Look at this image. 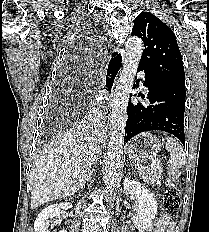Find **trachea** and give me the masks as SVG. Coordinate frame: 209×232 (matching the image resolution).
I'll use <instances>...</instances> for the list:
<instances>
[{
	"label": "trachea",
	"mask_w": 209,
	"mask_h": 232,
	"mask_svg": "<svg viewBox=\"0 0 209 232\" xmlns=\"http://www.w3.org/2000/svg\"><path fill=\"white\" fill-rule=\"evenodd\" d=\"M110 82H111V80H110V79H107V80H106V85H108Z\"/></svg>",
	"instance_id": "1"
}]
</instances>
